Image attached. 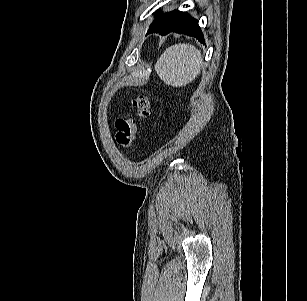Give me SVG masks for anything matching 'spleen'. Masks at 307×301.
I'll return each instance as SVG.
<instances>
[{
	"instance_id": "3e777b00",
	"label": "spleen",
	"mask_w": 307,
	"mask_h": 301,
	"mask_svg": "<svg viewBox=\"0 0 307 301\" xmlns=\"http://www.w3.org/2000/svg\"><path fill=\"white\" fill-rule=\"evenodd\" d=\"M202 65L201 52L195 46L179 43L168 47L154 68L166 85L182 87L199 75Z\"/></svg>"
}]
</instances>
